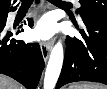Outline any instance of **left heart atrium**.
Wrapping results in <instances>:
<instances>
[{"label": "left heart atrium", "mask_w": 107, "mask_h": 89, "mask_svg": "<svg viewBox=\"0 0 107 89\" xmlns=\"http://www.w3.org/2000/svg\"><path fill=\"white\" fill-rule=\"evenodd\" d=\"M56 31V23L52 16L42 17L35 25L32 35L37 40H49Z\"/></svg>", "instance_id": "obj_1"}]
</instances>
